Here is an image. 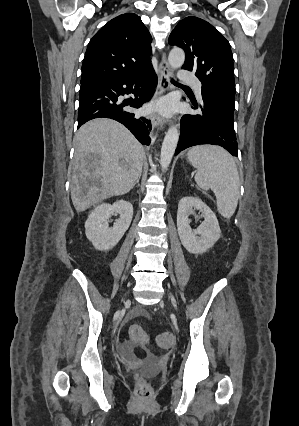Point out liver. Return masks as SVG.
I'll list each match as a JSON object with an SVG mask.
<instances>
[{
  "label": "liver",
  "mask_w": 299,
  "mask_h": 426,
  "mask_svg": "<svg viewBox=\"0 0 299 426\" xmlns=\"http://www.w3.org/2000/svg\"><path fill=\"white\" fill-rule=\"evenodd\" d=\"M74 148L70 190L77 212L129 192L141 176L144 149L114 120L97 118L82 125Z\"/></svg>",
  "instance_id": "6515ba94"
}]
</instances>
